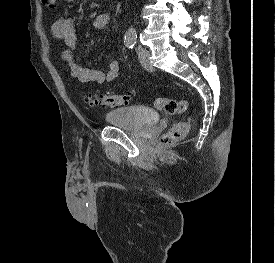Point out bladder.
I'll use <instances>...</instances> for the list:
<instances>
[{
	"label": "bladder",
	"instance_id": "1",
	"mask_svg": "<svg viewBox=\"0 0 275 263\" xmlns=\"http://www.w3.org/2000/svg\"><path fill=\"white\" fill-rule=\"evenodd\" d=\"M104 119L112 126L141 129L156 124L159 120V114L146 106H129L108 111Z\"/></svg>",
	"mask_w": 275,
	"mask_h": 263
}]
</instances>
